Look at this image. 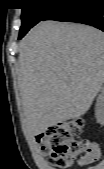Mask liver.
Masks as SVG:
<instances>
[{"label": "liver", "mask_w": 104, "mask_h": 169, "mask_svg": "<svg viewBox=\"0 0 104 169\" xmlns=\"http://www.w3.org/2000/svg\"><path fill=\"white\" fill-rule=\"evenodd\" d=\"M18 62L25 128L33 137L89 110L104 81V34L43 21L20 42Z\"/></svg>", "instance_id": "6515ba94"}]
</instances>
